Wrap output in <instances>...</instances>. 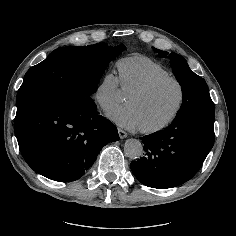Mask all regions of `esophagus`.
Returning a JSON list of instances; mask_svg holds the SVG:
<instances>
[{"mask_svg":"<svg viewBox=\"0 0 236 236\" xmlns=\"http://www.w3.org/2000/svg\"><path fill=\"white\" fill-rule=\"evenodd\" d=\"M118 133L121 139H125L127 137V133L121 129H118Z\"/></svg>","mask_w":236,"mask_h":236,"instance_id":"34e87169","label":"esophagus"}]
</instances>
